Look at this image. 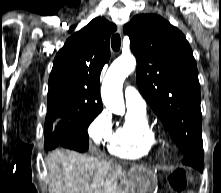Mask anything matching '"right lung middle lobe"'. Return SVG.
<instances>
[{
	"label": "right lung middle lobe",
	"instance_id": "dd1d6c3e",
	"mask_svg": "<svg viewBox=\"0 0 221 193\" xmlns=\"http://www.w3.org/2000/svg\"><path fill=\"white\" fill-rule=\"evenodd\" d=\"M100 112L58 116L47 114L44 127L46 150L58 145L84 152L89 147V136L86 131L90 123Z\"/></svg>",
	"mask_w": 221,
	"mask_h": 193
}]
</instances>
